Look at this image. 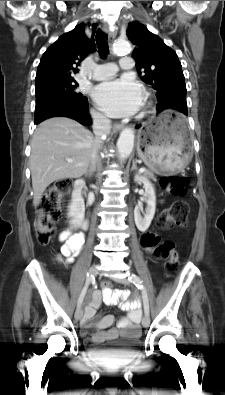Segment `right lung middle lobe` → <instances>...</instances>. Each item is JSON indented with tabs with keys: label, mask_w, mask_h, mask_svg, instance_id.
Returning a JSON list of instances; mask_svg holds the SVG:
<instances>
[{
	"label": "right lung middle lobe",
	"mask_w": 225,
	"mask_h": 395,
	"mask_svg": "<svg viewBox=\"0 0 225 395\" xmlns=\"http://www.w3.org/2000/svg\"><path fill=\"white\" fill-rule=\"evenodd\" d=\"M78 86L79 84L74 79L58 80L36 85L35 111L61 99L85 98L81 93L76 91Z\"/></svg>",
	"instance_id": "right-lung-middle-lobe-1"
}]
</instances>
